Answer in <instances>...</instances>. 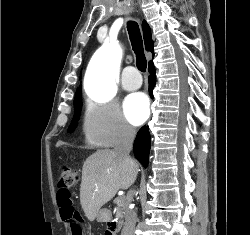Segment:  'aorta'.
Returning <instances> with one entry per match:
<instances>
[{"mask_svg":"<svg viewBox=\"0 0 250 235\" xmlns=\"http://www.w3.org/2000/svg\"><path fill=\"white\" fill-rule=\"evenodd\" d=\"M114 54L121 55V50L113 51L104 44L96 51L89 65L86 90L97 101L105 102L115 95L118 65Z\"/></svg>","mask_w":250,"mask_h":235,"instance_id":"obj_1","label":"aorta"}]
</instances>
